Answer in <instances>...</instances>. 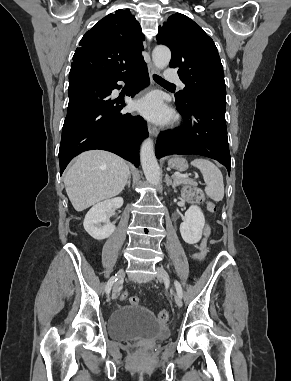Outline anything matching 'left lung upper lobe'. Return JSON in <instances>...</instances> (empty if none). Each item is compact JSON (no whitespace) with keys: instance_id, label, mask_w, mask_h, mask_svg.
Listing matches in <instances>:
<instances>
[{"instance_id":"1","label":"left lung upper lobe","mask_w":291,"mask_h":381,"mask_svg":"<svg viewBox=\"0 0 291 381\" xmlns=\"http://www.w3.org/2000/svg\"><path fill=\"white\" fill-rule=\"evenodd\" d=\"M156 38L170 48V67L179 68L178 75L186 85L175 94L177 101L184 103L198 97L226 102L224 72L217 48L200 26L176 13L159 27Z\"/></svg>"}]
</instances>
